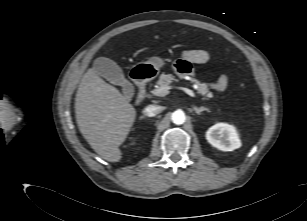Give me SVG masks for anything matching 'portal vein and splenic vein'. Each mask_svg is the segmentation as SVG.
Segmentation results:
<instances>
[{"instance_id":"portal-vein-and-splenic-vein-1","label":"portal vein and splenic vein","mask_w":307,"mask_h":221,"mask_svg":"<svg viewBox=\"0 0 307 221\" xmlns=\"http://www.w3.org/2000/svg\"><path fill=\"white\" fill-rule=\"evenodd\" d=\"M171 88V86L169 87H166V88H160V89H157V90H154L152 93L155 95V96H158V97H163L165 95H167L169 93V89ZM178 89L184 91L185 93H187L189 96L191 97H195V93L188 89V88H185V87H177Z\"/></svg>"}]
</instances>
